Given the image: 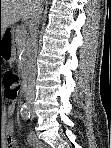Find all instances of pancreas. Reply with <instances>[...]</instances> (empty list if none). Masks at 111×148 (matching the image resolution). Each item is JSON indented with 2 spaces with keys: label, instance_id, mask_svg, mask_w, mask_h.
<instances>
[{
  "label": "pancreas",
  "instance_id": "cf45deb5",
  "mask_svg": "<svg viewBox=\"0 0 111 148\" xmlns=\"http://www.w3.org/2000/svg\"><path fill=\"white\" fill-rule=\"evenodd\" d=\"M15 42H16L18 51H22L23 56L25 57L27 55V51L30 43H29V35L26 32L24 25H20L16 28Z\"/></svg>",
  "mask_w": 111,
  "mask_h": 148
}]
</instances>
